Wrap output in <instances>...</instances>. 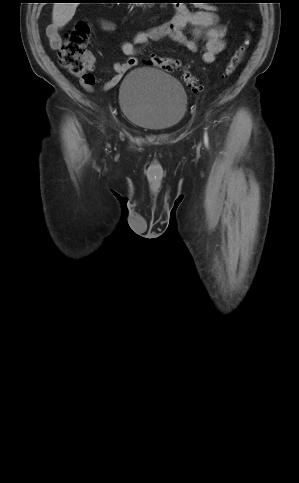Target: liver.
Returning <instances> with one entry per match:
<instances>
[{"label": "liver", "mask_w": 299, "mask_h": 483, "mask_svg": "<svg viewBox=\"0 0 299 483\" xmlns=\"http://www.w3.org/2000/svg\"><path fill=\"white\" fill-rule=\"evenodd\" d=\"M78 3H54L52 18L57 27L65 26L74 16Z\"/></svg>", "instance_id": "1"}]
</instances>
